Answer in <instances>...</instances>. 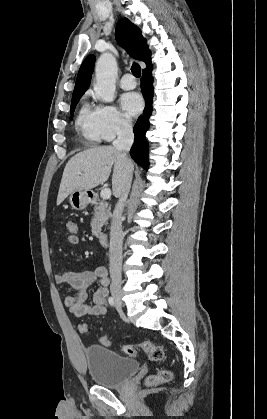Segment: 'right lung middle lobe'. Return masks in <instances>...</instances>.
Masks as SVG:
<instances>
[{
    "label": "right lung middle lobe",
    "instance_id": "right-lung-middle-lobe-1",
    "mask_svg": "<svg viewBox=\"0 0 267 419\" xmlns=\"http://www.w3.org/2000/svg\"><path fill=\"white\" fill-rule=\"evenodd\" d=\"M80 98H81V96L72 97V103H71V116L72 117H73V114H74L75 107H76L77 103L79 102Z\"/></svg>",
    "mask_w": 267,
    "mask_h": 419
}]
</instances>
